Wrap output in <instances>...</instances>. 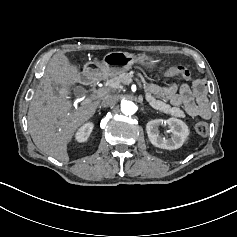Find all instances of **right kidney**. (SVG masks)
Listing matches in <instances>:
<instances>
[{
  "label": "right kidney",
  "mask_w": 237,
  "mask_h": 237,
  "mask_svg": "<svg viewBox=\"0 0 237 237\" xmlns=\"http://www.w3.org/2000/svg\"><path fill=\"white\" fill-rule=\"evenodd\" d=\"M92 129H93L92 124H86L77 133V140L80 142L86 141L89 135L91 134Z\"/></svg>",
  "instance_id": "1"
}]
</instances>
